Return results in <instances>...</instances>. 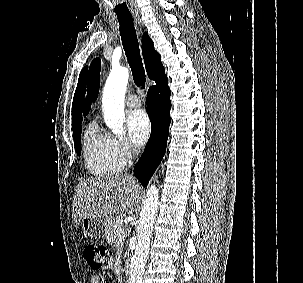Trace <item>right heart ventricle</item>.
Returning a JSON list of instances; mask_svg holds the SVG:
<instances>
[{
  "label": "right heart ventricle",
  "instance_id": "e07e8e85",
  "mask_svg": "<svg viewBox=\"0 0 303 283\" xmlns=\"http://www.w3.org/2000/svg\"><path fill=\"white\" fill-rule=\"evenodd\" d=\"M83 152L88 171L97 177L114 176L124 167L112 150L108 134L102 133L95 122L84 132Z\"/></svg>",
  "mask_w": 303,
  "mask_h": 283
}]
</instances>
